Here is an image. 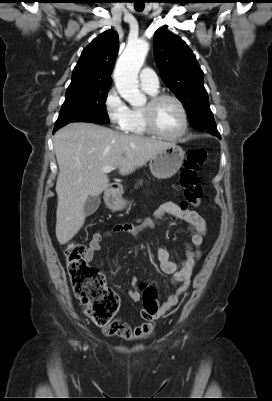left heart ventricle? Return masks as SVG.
<instances>
[{
    "label": "left heart ventricle",
    "mask_w": 272,
    "mask_h": 401,
    "mask_svg": "<svg viewBox=\"0 0 272 401\" xmlns=\"http://www.w3.org/2000/svg\"><path fill=\"white\" fill-rule=\"evenodd\" d=\"M155 120L160 131L167 135H176L183 128L182 113L172 100H164L157 106Z\"/></svg>",
    "instance_id": "1"
}]
</instances>
